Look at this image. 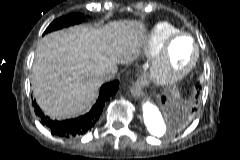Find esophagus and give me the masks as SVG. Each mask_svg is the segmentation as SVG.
<instances>
[{"mask_svg":"<svg viewBox=\"0 0 240 160\" xmlns=\"http://www.w3.org/2000/svg\"><path fill=\"white\" fill-rule=\"evenodd\" d=\"M149 80L148 79H138L131 87V93L133 97L139 98L144 95L143 89L144 87L148 86Z\"/></svg>","mask_w":240,"mask_h":160,"instance_id":"34e87169","label":"esophagus"}]
</instances>
